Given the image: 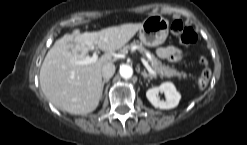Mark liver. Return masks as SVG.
Returning <instances> with one entry per match:
<instances>
[{
	"instance_id": "1",
	"label": "liver",
	"mask_w": 247,
	"mask_h": 145,
	"mask_svg": "<svg viewBox=\"0 0 247 145\" xmlns=\"http://www.w3.org/2000/svg\"><path fill=\"white\" fill-rule=\"evenodd\" d=\"M141 27L142 23H128L97 32L75 30L58 39L40 69V86L45 97L56 108L74 115L94 111L102 94V66L112 60L111 52L121 49ZM95 48L105 55L90 65L74 63Z\"/></svg>"
}]
</instances>
